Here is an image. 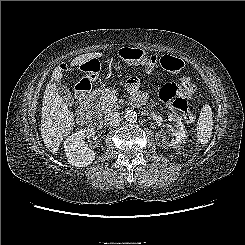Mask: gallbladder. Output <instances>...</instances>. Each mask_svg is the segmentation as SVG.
Returning <instances> with one entry per match:
<instances>
[{
    "instance_id": "obj_1",
    "label": "gallbladder",
    "mask_w": 245,
    "mask_h": 245,
    "mask_svg": "<svg viewBox=\"0 0 245 245\" xmlns=\"http://www.w3.org/2000/svg\"><path fill=\"white\" fill-rule=\"evenodd\" d=\"M57 90L59 94L62 96L64 102L69 106V107H74L76 104L74 102V98L67 88V86L62 85L60 83H56Z\"/></svg>"
}]
</instances>
